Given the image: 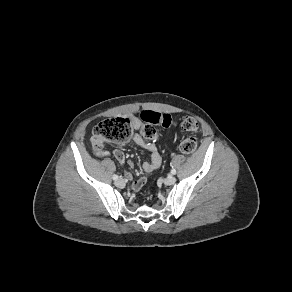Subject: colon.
<instances>
[{"instance_id":"colon-1","label":"colon","mask_w":292,"mask_h":292,"mask_svg":"<svg viewBox=\"0 0 292 292\" xmlns=\"http://www.w3.org/2000/svg\"><path fill=\"white\" fill-rule=\"evenodd\" d=\"M142 122L141 133L149 140L157 137L156 126H169L173 123L169 115H161L153 111H143L140 116ZM181 126L184 131L193 134L198 129L197 121L190 116L183 117ZM133 125L129 118L106 119L98 123L94 128L91 137L93 152L97 156H101L104 152V142L125 143L132 138ZM198 140L196 137L189 135L180 144V150L183 153L190 154L196 151Z\"/></svg>"}]
</instances>
